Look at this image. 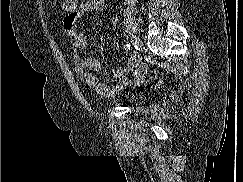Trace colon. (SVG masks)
<instances>
[{"instance_id":"1","label":"colon","mask_w":243,"mask_h":182,"mask_svg":"<svg viewBox=\"0 0 243 182\" xmlns=\"http://www.w3.org/2000/svg\"><path fill=\"white\" fill-rule=\"evenodd\" d=\"M77 8V0H64L62 10L68 15L73 14Z\"/></svg>"}]
</instances>
